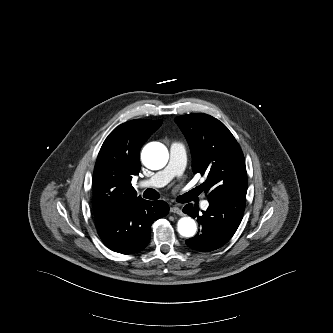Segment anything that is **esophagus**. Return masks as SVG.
I'll return each instance as SVG.
<instances>
[{
    "mask_svg": "<svg viewBox=\"0 0 333 333\" xmlns=\"http://www.w3.org/2000/svg\"><path fill=\"white\" fill-rule=\"evenodd\" d=\"M170 212H171V213L178 214V215H183L182 210H181L179 207H177V206H173V207H171V208H170Z\"/></svg>",
    "mask_w": 333,
    "mask_h": 333,
    "instance_id": "esophagus-1",
    "label": "esophagus"
}]
</instances>
